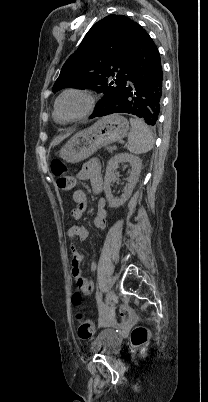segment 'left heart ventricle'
<instances>
[{
	"instance_id": "obj_1",
	"label": "left heart ventricle",
	"mask_w": 208,
	"mask_h": 402,
	"mask_svg": "<svg viewBox=\"0 0 208 402\" xmlns=\"http://www.w3.org/2000/svg\"><path fill=\"white\" fill-rule=\"evenodd\" d=\"M88 106L89 99L85 95L69 93L59 101L58 110L61 116L72 118L84 113Z\"/></svg>"
}]
</instances>
